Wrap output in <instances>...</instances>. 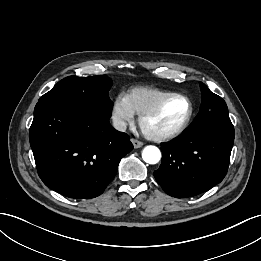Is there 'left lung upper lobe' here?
<instances>
[{
	"mask_svg": "<svg viewBox=\"0 0 261 261\" xmlns=\"http://www.w3.org/2000/svg\"><path fill=\"white\" fill-rule=\"evenodd\" d=\"M202 104L192 124L186 130L232 124L225 101L200 82Z\"/></svg>",
	"mask_w": 261,
	"mask_h": 261,
	"instance_id": "5c2ea615",
	"label": "left lung upper lobe"
}]
</instances>
